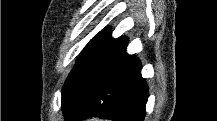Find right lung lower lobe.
<instances>
[{
	"instance_id": "98d812e1",
	"label": "right lung lower lobe",
	"mask_w": 217,
	"mask_h": 121,
	"mask_svg": "<svg viewBox=\"0 0 217 121\" xmlns=\"http://www.w3.org/2000/svg\"><path fill=\"white\" fill-rule=\"evenodd\" d=\"M127 39H115L87 72L62 93L65 121L92 116L113 121H143L148 86L141 63L126 53Z\"/></svg>"
}]
</instances>
